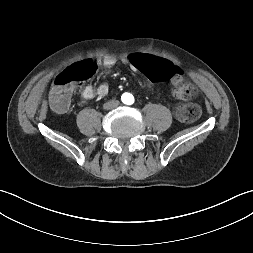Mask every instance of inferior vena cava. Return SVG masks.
<instances>
[{
	"label": "inferior vena cava",
	"instance_id": "602c4592",
	"mask_svg": "<svg viewBox=\"0 0 253 253\" xmlns=\"http://www.w3.org/2000/svg\"><path fill=\"white\" fill-rule=\"evenodd\" d=\"M118 104H119V101L112 100V101H109V102L105 103L104 104V108L105 109H111V108L117 107Z\"/></svg>",
	"mask_w": 253,
	"mask_h": 253
}]
</instances>
